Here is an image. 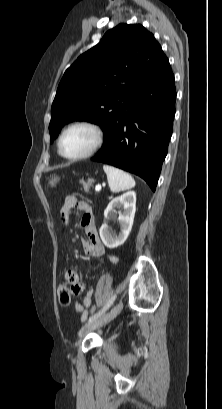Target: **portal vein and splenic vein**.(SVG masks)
Returning a JSON list of instances; mask_svg holds the SVG:
<instances>
[{
  "mask_svg": "<svg viewBox=\"0 0 222 409\" xmlns=\"http://www.w3.org/2000/svg\"><path fill=\"white\" fill-rule=\"evenodd\" d=\"M95 190H96V191H100V190H101V185H99V184L96 185Z\"/></svg>",
  "mask_w": 222,
  "mask_h": 409,
  "instance_id": "portal-vein-and-splenic-vein-1",
  "label": "portal vein and splenic vein"
}]
</instances>
